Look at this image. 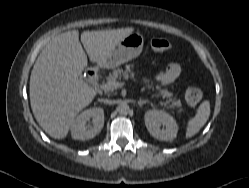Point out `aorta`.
<instances>
[{
	"mask_svg": "<svg viewBox=\"0 0 249 188\" xmlns=\"http://www.w3.org/2000/svg\"><path fill=\"white\" fill-rule=\"evenodd\" d=\"M130 111V107L129 105L125 104V103H122L121 105H119L118 107V112L121 114V115H127Z\"/></svg>",
	"mask_w": 249,
	"mask_h": 188,
	"instance_id": "obj_1",
	"label": "aorta"
}]
</instances>
